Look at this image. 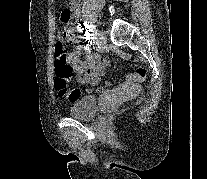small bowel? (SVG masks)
<instances>
[{
	"label": "small bowel",
	"instance_id": "small-bowel-1",
	"mask_svg": "<svg viewBox=\"0 0 207 179\" xmlns=\"http://www.w3.org/2000/svg\"><path fill=\"white\" fill-rule=\"evenodd\" d=\"M83 0H70L69 7L60 13L59 20L62 23L68 21L70 17L78 19V28L84 29V22L81 19ZM75 27L71 24H65L61 34L66 38L67 42L74 47L68 53V62L76 73L79 83L95 85L105 74L108 61L101 58L92 51V46L88 43H80L74 35ZM86 52V57L81 59V52Z\"/></svg>",
	"mask_w": 207,
	"mask_h": 179
}]
</instances>
